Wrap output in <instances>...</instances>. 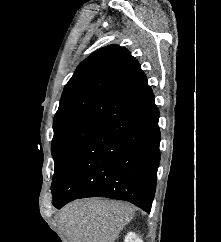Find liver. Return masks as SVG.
Segmentation results:
<instances>
[{
  "label": "liver",
  "mask_w": 221,
  "mask_h": 242,
  "mask_svg": "<svg viewBox=\"0 0 221 242\" xmlns=\"http://www.w3.org/2000/svg\"><path fill=\"white\" fill-rule=\"evenodd\" d=\"M133 217L134 208L128 203L87 199L66 205L59 224L68 242H115Z\"/></svg>",
  "instance_id": "liver-1"
}]
</instances>
